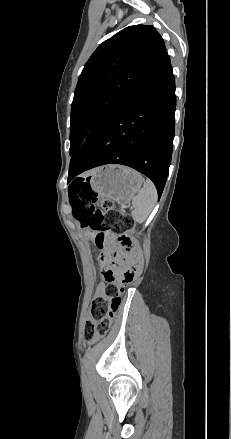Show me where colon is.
<instances>
[{
  "instance_id": "obj_1",
  "label": "colon",
  "mask_w": 231,
  "mask_h": 439,
  "mask_svg": "<svg viewBox=\"0 0 231 439\" xmlns=\"http://www.w3.org/2000/svg\"><path fill=\"white\" fill-rule=\"evenodd\" d=\"M68 192L75 218L82 227L96 233V243L108 242V231H113L118 234L121 246L120 250L107 256L104 274L106 285L102 294L95 296L91 304L85 336L88 341H93L109 330L120 303L122 288L137 278L141 254L134 237L135 221L130 215L115 209L109 200L103 201L99 207L96 191L84 180L71 184ZM123 261H127L128 265L122 269Z\"/></svg>"
}]
</instances>
